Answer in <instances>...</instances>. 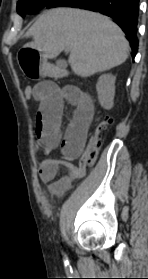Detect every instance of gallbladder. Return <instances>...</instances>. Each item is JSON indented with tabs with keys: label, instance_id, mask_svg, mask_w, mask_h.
<instances>
[{
	"label": "gallbladder",
	"instance_id": "1",
	"mask_svg": "<svg viewBox=\"0 0 148 279\" xmlns=\"http://www.w3.org/2000/svg\"><path fill=\"white\" fill-rule=\"evenodd\" d=\"M56 64H57V66H58V67H60V66H61L60 62H57Z\"/></svg>",
	"mask_w": 148,
	"mask_h": 279
}]
</instances>
